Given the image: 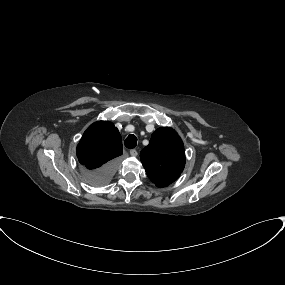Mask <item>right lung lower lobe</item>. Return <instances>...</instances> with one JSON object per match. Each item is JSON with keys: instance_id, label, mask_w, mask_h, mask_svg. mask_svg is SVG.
<instances>
[{"instance_id": "obj_1", "label": "right lung lower lobe", "mask_w": 285, "mask_h": 285, "mask_svg": "<svg viewBox=\"0 0 285 285\" xmlns=\"http://www.w3.org/2000/svg\"><path fill=\"white\" fill-rule=\"evenodd\" d=\"M117 160H112L107 164L103 165L102 167L95 169V170H87L85 172L84 178L87 183L93 186H102L107 184L116 169Z\"/></svg>"}]
</instances>
